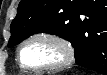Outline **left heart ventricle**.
I'll return each mask as SVG.
<instances>
[{"label": "left heart ventricle", "instance_id": "obj_1", "mask_svg": "<svg viewBox=\"0 0 107 75\" xmlns=\"http://www.w3.org/2000/svg\"><path fill=\"white\" fill-rule=\"evenodd\" d=\"M63 57L59 47L50 41L36 39L29 42L22 51L23 61L34 67L54 64Z\"/></svg>", "mask_w": 107, "mask_h": 75}]
</instances>
